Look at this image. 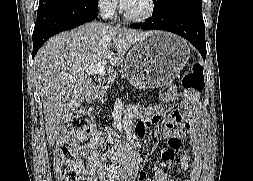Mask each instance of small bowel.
Here are the masks:
<instances>
[{"label": "small bowel", "instance_id": "1", "mask_svg": "<svg viewBox=\"0 0 253 181\" xmlns=\"http://www.w3.org/2000/svg\"><path fill=\"white\" fill-rule=\"evenodd\" d=\"M160 102L163 104L183 102L182 109H187L186 114L174 110L162 121L163 137L167 141V146L162 151L163 159L166 162L172 161L174 153L180 148L179 140L187 133H194L191 155L182 156L179 165L182 171H188L184 181H198L202 167L201 140L198 132L193 130L190 119V114L198 109V94L172 87L160 95ZM131 111L138 119L135 133L140 137L144 136L152 125L158 126L162 120V108L159 105L135 106ZM106 142H117V134L109 127L96 132L87 144L79 145L76 149L77 154L87 160L88 176L92 181H96L94 176H97L98 181H174L161 167L155 169L154 180L145 171L138 174L131 157L125 155L118 147L112 155L103 152L101 149Z\"/></svg>", "mask_w": 253, "mask_h": 181}]
</instances>
